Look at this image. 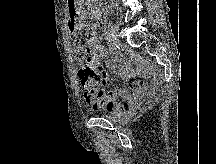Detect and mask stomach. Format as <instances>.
I'll use <instances>...</instances> for the list:
<instances>
[{"label": "stomach", "mask_w": 216, "mask_h": 164, "mask_svg": "<svg viewBox=\"0 0 216 164\" xmlns=\"http://www.w3.org/2000/svg\"><path fill=\"white\" fill-rule=\"evenodd\" d=\"M67 13L68 14H79L80 10L79 9H68Z\"/></svg>", "instance_id": "1"}]
</instances>
